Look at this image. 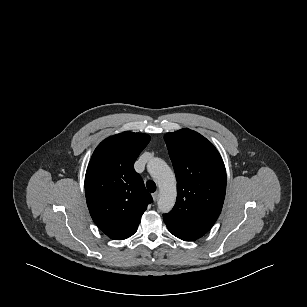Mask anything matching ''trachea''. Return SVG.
<instances>
[{"instance_id": "3493384b", "label": "trachea", "mask_w": 307, "mask_h": 307, "mask_svg": "<svg viewBox=\"0 0 307 307\" xmlns=\"http://www.w3.org/2000/svg\"><path fill=\"white\" fill-rule=\"evenodd\" d=\"M146 187H147L148 191L151 192V193L156 191V184L152 180L147 181Z\"/></svg>"}]
</instances>
